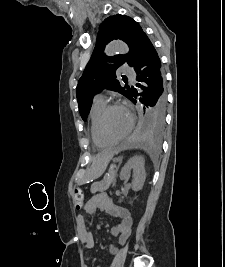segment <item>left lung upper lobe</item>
<instances>
[{
    "mask_svg": "<svg viewBox=\"0 0 225 267\" xmlns=\"http://www.w3.org/2000/svg\"><path fill=\"white\" fill-rule=\"evenodd\" d=\"M145 35L141 26L125 15H113L101 23L95 49L77 85V101L84 121L90 111L94 95L105 88L117 91L129 99L131 88L128 85L121 87L116 79V69L124 63L130 67L135 65ZM115 39L127 43L130 48L128 54L112 57L104 55L105 46ZM164 119L165 113L157 114L155 110L150 109L147 116L149 130L156 135L160 134Z\"/></svg>",
    "mask_w": 225,
    "mask_h": 267,
    "instance_id": "5c2ea615",
    "label": "left lung upper lobe"
}]
</instances>
